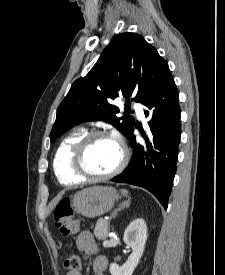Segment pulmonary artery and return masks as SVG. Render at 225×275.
Here are the masks:
<instances>
[{"label": "pulmonary artery", "mask_w": 225, "mask_h": 275, "mask_svg": "<svg viewBox=\"0 0 225 275\" xmlns=\"http://www.w3.org/2000/svg\"><path fill=\"white\" fill-rule=\"evenodd\" d=\"M134 108L136 109L137 115L140 118L144 117V111H143V106L139 103H133Z\"/></svg>", "instance_id": "e3ab8cb5"}]
</instances>
